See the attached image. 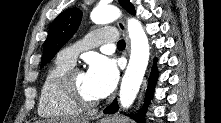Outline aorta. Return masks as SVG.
Returning a JSON list of instances; mask_svg holds the SVG:
<instances>
[{
  "mask_svg": "<svg viewBox=\"0 0 221 123\" xmlns=\"http://www.w3.org/2000/svg\"><path fill=\"white\" fill-rule=\"evenodd\" d=\"M120 16L121 12L115 6H98L91 13V20L95 24H107L117 20ZM127 29L131 41V54L119 94L120 103L124 108H129L136 98L150 54L148 38L141 23L135 18H129Z\"/></svg>",
  "mask_w": 221,
  "mask_h": 123,
  "instance_id": "762f6f07",
  "label": "aorta"
}]
</instances>
